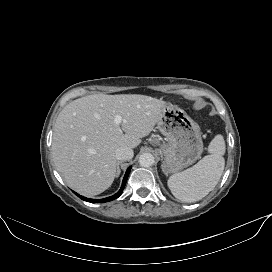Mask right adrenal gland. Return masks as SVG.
Segmentation results:
<instances>
[{"label": "right adrenal gland", "mask_w": 272, "mask_h": 272, "mask_svg": "<svg viewBox=\"0 0 272 272\" xmlns=\"http://www.w3.org/2000/svg\"><path fill=\"white\" fill-rule=\"evenodd\" d=\"M122 164V161H118L117 162V172H116V176L118 177L119 175H120V172H121V170H120V165Z\"/></svg>", "instance_id": "1"}]
</instances>
